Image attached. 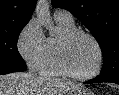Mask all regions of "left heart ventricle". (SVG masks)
<instances>
[{"instance_id":"obj_1","label":"left heart ventricle","mask_w":119,"mask_h":95,"mask_svg":"<svg viewBox=\"0 0 119 95\" xmlns=\"http://www.w3.org/2000/svg\"><path fill=\"white\" fill-rule=\"evenodd\" d=\"M67 60L74 72L88 74L96 67L98 52L94 43L88 37L80 35L69 44Z\"/></svg>"}]
</instances>
